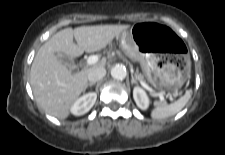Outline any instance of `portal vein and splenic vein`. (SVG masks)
Segmentation results:
<instances>
[{"label": "portal vein and splenic vein", "mask_w": 225, "mask_h": 155, "mask_svg": "<svg viewBox=\"0 0 225 155\" xmlns=\"http://www.w3.org/2000/svg\"><path fill=\"white\" fill-rule=\"evenodd\" d=\"M98 59L99 58L97 55H91L87 58V64L93 65V64L97 63ZM139 81L144 88H146L147 90H149L151 92H154V90L142 79H140ZM155 94H156V96H158L160 98V100H164V95L162 93H155Z\"/></svg>", "instance_id": "18ae733b"}]
</instances>
